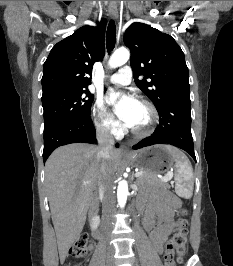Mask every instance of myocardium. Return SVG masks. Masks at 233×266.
Here are the masks:
<instances>
[{
	"mask_svg": "<svg viewBox=\"0 0 233 266\" xmlns=\"http://www.w3.org/2000/svg\"><path fill=\"white\" fill-rule=\"evenodd\" d=\"M139 103L145 106L150 113V121L143 129H131V133L136 138H145L151 135L156 129L159 122V113L155 105L146 99H140Z\"/></svg>",
	"mask_w": 233,
	"mask_h": 266,
	"instance_id": "obj_1",
	"label": "myocardium"
}]
</instances>
